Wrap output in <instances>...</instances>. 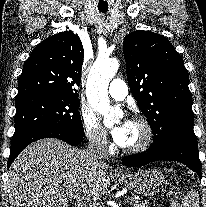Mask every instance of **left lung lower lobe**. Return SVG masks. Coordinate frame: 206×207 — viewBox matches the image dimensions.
<instances>
[{
	"instance_id": "1",
	"label": "left lung lower lobe",
	"mask_w": 206,
	"mask_h": 207,
	"mask_svg": "<svg viewBox=\"0 0 206 207\" xmlns=\"http://www.w3.org/2000/svg\"><path fill=\"white\" fill-rule=\"evenodd\" d=\"M154 161H178L196 172L201 178V162L195 136H179L166 144L122 159L128 167H140Z\"/></svg>"
}]
</instances>
